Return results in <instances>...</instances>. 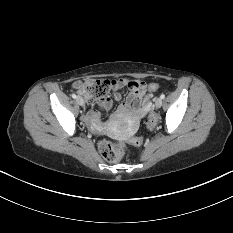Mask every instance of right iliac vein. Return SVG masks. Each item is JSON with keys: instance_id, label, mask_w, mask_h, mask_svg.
Segmentation results:
<instances>
[{"instance_id": "63e3f726", "label": "right iliac vein", "mask_w": 233, "mask_h": 233, "mask_svg": "<svg viewBox=\"0 0 233 233\" xmlns=\"http://www.w3.org/2000/svg\"><path fill=\"white\" fill-rule=\"evenodd\" d=\"M77 103L80 105V106H83L84 105V99L80 96L77 97L76 99Z\"/></svg>"}]
</instances>
